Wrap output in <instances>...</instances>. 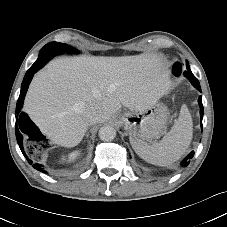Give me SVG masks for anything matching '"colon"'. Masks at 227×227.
<instances>
[{
  "label": "colon",
  "mask_w": 227,
  "mask_h": 227,
  "mask_svg": "<svg viewBox=\"0 0 227 227\" xmlns=\"http://www.w3.org/2000/svg\"><path fill=\"white\" fill-rule=\"evenodd\" d=\"M180 73H181V65H180V63L173 64V66H172V74L174 76H179ZM33 141L37 142V143H40L43 148H47L48 147V141L43 136H39V137L33 139ZM28 151H29V153L33 154L34 153L33 146L29 145L28 146Z\"/></svg>",
  "instance_id": "1"
}]
</instances>
